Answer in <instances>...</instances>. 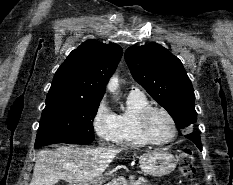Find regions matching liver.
I'll list each match as a JSON object with an SVG mask.
<instances>
[{
    "label": "liver",
    "instance_id": "liver-1",
    "mask_svg": "<svg viewBox=\"0 0 233 185\" xmlns=\"http://www.w3.org/2000/svg\"><path fill=\"white\" fill-rule=\"evenodd\" d=\"M123 148H72L42 151L37 156L30 185H54L60 180L73 185L92 181L102 175ZM75 165L65 169L63 166Z\"/></svg>",
    "mask_w": 233,
    "mask_h": 185
}]
</instances>
